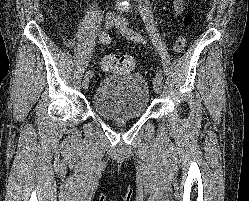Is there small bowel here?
Returning a JSON list of instances; mask_svg holds the SVG:
<instances>
[{
  "mask_svg": "<svg viewBox=\"0 0 249 201\" xmlns=\"http://www.w3.org/2000/svg\"><path fill=\"white\" fill-rule=\"evenodd\" d=\"M173 7H174V12L176 14H180L183 11V9H184V2H183V0H174ZM65 42L69 43V40L66 39ZM103 69L106 70L104 67H103Z\"/></svg>",
  "mask_w": 249,
  "mask_h": 201,
  "instance_id": "1",
  "label": "small bowel"
}]
</instances>
